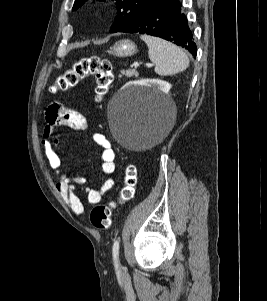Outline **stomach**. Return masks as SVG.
<instances>
[{"label": "stomach", "instance_id": "stomach-1", "mask_svg": "<svg viewBox=\"0 0 267 301\" xmlns=\"http://www.w3.org/2000/svg\"><path fill=\"white\" fill-rule=\"evenodd\" d=\"M109 53L115 57H129L136 53V45L128 39L120 40L110 48Z\"/></svg>", "mask_w": 267, "mask_h": 301}]
</instances>
